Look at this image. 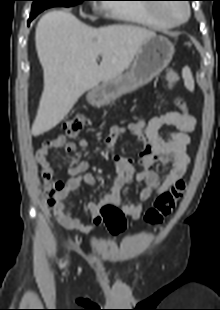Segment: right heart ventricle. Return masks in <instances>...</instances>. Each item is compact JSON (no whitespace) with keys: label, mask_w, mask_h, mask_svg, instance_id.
I'll return each instance as SVG.
<instances>
[{"label":"right heart ventricle","mask_w":220,"mask_h":310,"mask_svg":"<svg viewBox=\"0 0 220 310\" xmlns=\"http://www.w3.org/2000/svg\"><path fill=\"white\" fill-rule=\"evenodd\" d=\"M152 10L153 8L144 5H114L111 7V13L124 21L159 30L172 27L166 22L155 17Z\"/></svg>","instance_id":"obj_1"}]
</instances>
